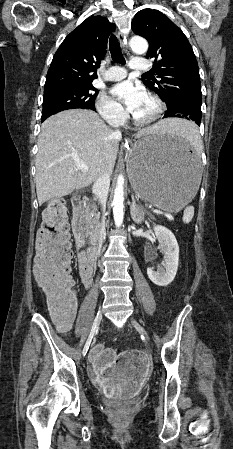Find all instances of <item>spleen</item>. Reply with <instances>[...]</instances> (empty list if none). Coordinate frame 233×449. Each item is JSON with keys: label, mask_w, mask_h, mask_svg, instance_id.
<instances>
[{"label": "spleen", "mask_w": 233, "mask_h": 449, "mask_svg": "<svg viewBox=\"0 0 233 449\" xmlns=\"http://www.w3.org/2000/svg\"><path fill=\"white\" fill-rule=\"evenodd\" d=\"M175 133L178 135L179 142H191L196 146L199 142L197 134V125H175ZM194 216V207L188 206L184 210L183 222L189 223Z\"/></svg>", "instance_id": "spleen-1"}]
</instances>
